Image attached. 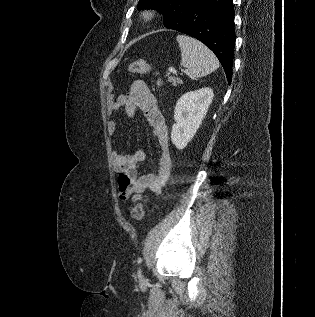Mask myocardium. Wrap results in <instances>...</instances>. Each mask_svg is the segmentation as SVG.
<instances>
[{"label": "myocardium", "mask_w": 315, "mask_h": 317, "mask_svg": "<svg viewBox=\"0 0 315 317\" xmlns=\"http://www.w3.org/2000/svg\"><path fill=\"white\" fill-rule=\"evenodd\" d=\"M155 15H156V12L154 10H148L142 14V17L145 21H150L155 17Z\"/></svg>", "instance_id": "obj_1"}]
</instances>
